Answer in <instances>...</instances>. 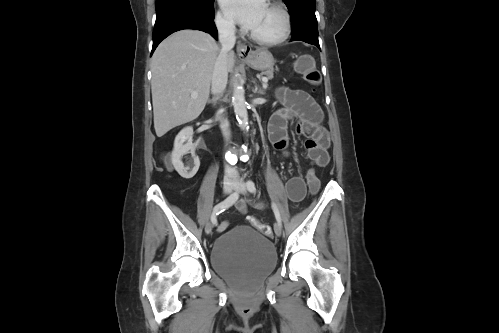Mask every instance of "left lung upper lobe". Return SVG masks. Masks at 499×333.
<instances>
[{"label":"left lung upper lobe","mask_w":499,"mask_h":333,"mask_svg":"<svg viewBox=\"0 0 499 333\" xmlns=\"http://www.w3.org/2000/svg\"><path fill=\"white\" fill-rule=\"evenodd\" d=\"M288 9L293 15L300 11H312L315 12L316 0H283Z\"/></svg>","instance_id":"obj_1"}]
</instances>
